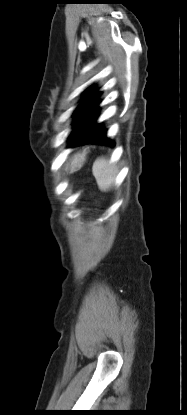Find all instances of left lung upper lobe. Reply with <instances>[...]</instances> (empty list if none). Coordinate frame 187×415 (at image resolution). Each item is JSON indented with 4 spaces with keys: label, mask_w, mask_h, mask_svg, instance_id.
<instances>
[{
    "label": "left lung upper lobe",
    "mask_w": 187,
    "mask_h": 415,
    "mask_svg": "<svg viewBox=\"0 0 187 415\" xmlns=\"http://www.w3.org/2000/svg\"><path fill=\"white\" fill-rule=\"evenodd\" d=\"M88 94H89V93H88V92H87V90H86V92H85V98H86V96H87ZM85 98H83V99L81 100V105H82V103L84 102ZM81 105H79V106L77 107V109L75 110V112H74V116H77V114H78V112H79V110H80V108H81Z\"/></svg>",
    "instance_id": "5c2ea615"
}]
</instances>
